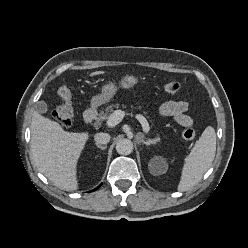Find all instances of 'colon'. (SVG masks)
<instances>
[{"mask_svg": "<svg viewBox=\"0 0 248 248\" xmlns=\"http://www.w3.org/2000/svg\"><path fill=\"white\" fill-rule=\"evenodd\" d=\"M180 83L177 81H169L163 85V91L167 94H175L180 90ZM58 95L61 99V104L53 111L52 115L55 121L63 128L71 126L74 110L72 105V93L68 86L63 85L58 90ZM182 136L185 140L192 141L196 137V132L193 128H186Z\"/></svg>", "mask_w": 248, "mask_h": 248, "instance_id": "1", "label": "colon"}]
</instances>
